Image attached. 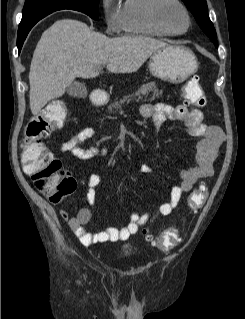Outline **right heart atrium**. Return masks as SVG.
I'll list each match as a JSON object with an SVG mask.
<instances>
[{
	"label": "right heart atrium",
	"instance_id": "obj_1",
	"mask_svg": "<svg viewBox=\"0 0 245 319\" xmlns=\"http://www.w3.org/2000/svg\"><path fill=\"white\" fill-rule=\"evenodd\" d=\"M102 15L106 25V31L116 34L121 31L119 8L115 0H101Z\"/></svg>",
	"mask_w": 245,
	"mask_h": 319
}]
</instances>
